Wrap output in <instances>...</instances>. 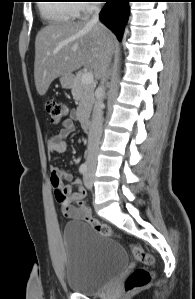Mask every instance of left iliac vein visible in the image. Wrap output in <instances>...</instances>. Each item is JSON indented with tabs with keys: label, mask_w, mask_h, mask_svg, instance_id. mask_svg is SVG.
<instances>
[{
	"label": "left iliac vein",
	"mask_w": 195,
	"mask_h": 299,
	"mask_svg": "<svg viewBox=\"0 0 195 299\" xmlns=\"http://www.w3.org/2000/svg\"><path fill=\"white\" fill-rule=\"evenodd\" d=\"M84 184L88 189L92 188L93 185V176L91 173V170H89L85 175H84Z\"/></svg>",
	"instance_id": "4c4485c4"
}]
</instances>
